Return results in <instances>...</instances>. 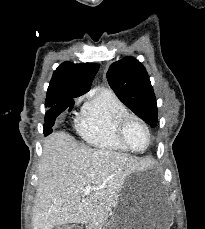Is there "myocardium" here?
<instances>
[{"instance_id":"obj_1","label":"myocardium","mask_w":205,"mask_h":229,"mask_svg":"<svg viewBox=\"0 0 205 229\" xmlns=\"http://www.w3.org/2000/svg\"><path fill=\"white\" fill-rule=\"evenodd\" d=\"M132 122H137L139 123L146 131V134H147V144L146 146L143 148V149H135L133 148L128 140H127V137H126V130L128 128V126L132 123ZM117 132H118V137L120 139V141L122 142V144L130 151L132 152H136V153H142L144 151H146L149 146L151 145V142H152V134H151V130L148 126V124L146 123L145 120H143L142 118H140L139 116L137 115H134V114H131V113H128L127 115L123 116L120 121H119V124H118V129H117Z\"/></svg>"}]
</instances>
